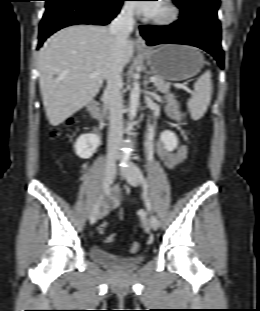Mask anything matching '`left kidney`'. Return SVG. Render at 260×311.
Returning a JSON list of instances; mask_svg holds the SVG:
<instances>
[{"mask_svg":"<svg viewBox=\"0 0 260 311\" xmlns=\"http://www.w3.org/2000/svg\"><path fill=\"white\" fill-rule=\"evenodd\" d=\"M160 139L167 151H173L178 145L177 136L172 131H163L160 135Z\"/></svg>","mask_w":260,"mask_h":311,"instance_id":"5707ae66","label":"left kidney"}]
</instances>
